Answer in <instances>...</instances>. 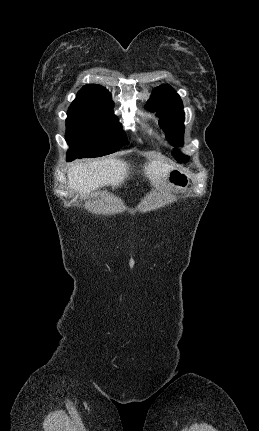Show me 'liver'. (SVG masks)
<instances>
[{"label": "liver", "mask_w": 259, "mask_h": 431, "mask_svg": "<svg viewBox=\"0 0 259 431\" xmlns=\"http://www.w3.org/2000/svg\"><path fill=\"white\" fill-rule=\"evenodd\" d=\"M129 167L127 162L116 158L76 162L68 170V187L79 192L82 197L105 185L117 187L128 177ZM173 169L171 165L150 159L144 165V174L155 187H158L167 180L169 172Z\"/></svg>", "instance_id": "obj_1"}]
</instances>
